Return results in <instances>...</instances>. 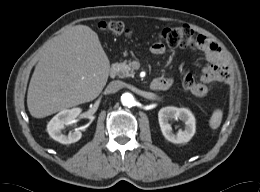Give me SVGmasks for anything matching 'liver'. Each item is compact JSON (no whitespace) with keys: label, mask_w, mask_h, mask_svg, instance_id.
I'll return each mask as SVG.
<instances>
[{"label":"liver","mask_w":260,"mask_h":192,"mask_svg":"<svg viewBox=\"0 0 260 192\" xmlns=\"http://www.w3.org/2000/svg\"><path fill=\"white\" fill-rule=\"evenodd\" d=\"M110 62L98 35L77 25L56 39L37 63L27 93L35 118L94 100L106 85Z\"/></svg>","instance_id":"obj_1"}]
</instances>
